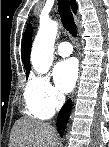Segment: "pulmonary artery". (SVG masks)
<instances>
[{"mask_svg":"<svg viewBox=\"0 0 109 147\" xmlns=\"http://www.w3.org/2000/svg\"><path fill=\"white\" fill-rule=\"evenodd\" d=\"M72 52H73V47L71 43L67 41L61 42L56 48V53L61 57H67L71 55Z\"/></svg>","mask_w":109,"mask_h":147,"instance_id":"e3ab8cb5","label":"pulmonary artery"}]
</instances>
